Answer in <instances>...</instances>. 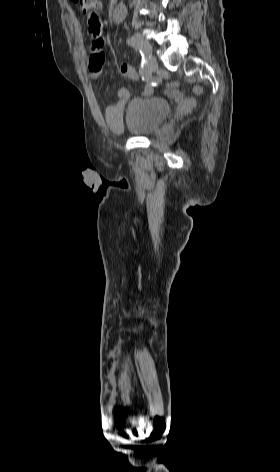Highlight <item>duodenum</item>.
<instances>
[{
	"mask_svg": "<svg viewBox=\"0 0 280 472\" xmlns=\"http://www.w3.org/2000/svg\"><path fill=\"white\" fill-rule=\"evenodd\" d=\"M126 17V9L124 6H117L112 12V20L114 23H121Z\"/></svg>",
	"mask_w": 280,
	"mask_h": 472,
	"instance_id": "obj_1",
	"label": "duodenum"
}]
</instances>
